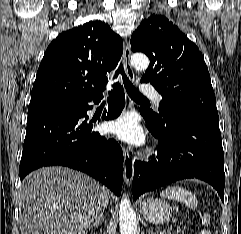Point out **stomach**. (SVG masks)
Returning <instances> with one entry per match:
<instances>
[{
    "label": "stomach",
    "mask_w": 241,
    "mask_h": 234,
    "mask_svg": "<svg viewBox=\"0 0 241 234\" xmlns=\"http://www.w3.org/2000/svg\"><path fill=\"white\" fill-rule=\"evenodd\" d=\"M141 215L148 221L160 224L168 221L172 215L170 205L162 199L147 198L140 203Z\"/></svg>",
    "instance_id": "1"
}]
</instances>
